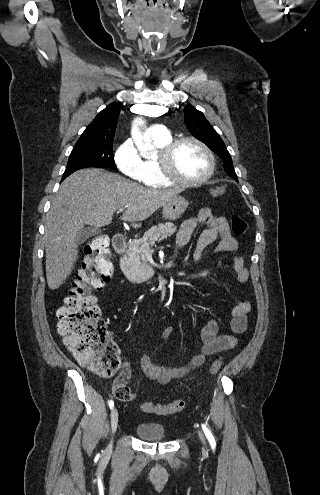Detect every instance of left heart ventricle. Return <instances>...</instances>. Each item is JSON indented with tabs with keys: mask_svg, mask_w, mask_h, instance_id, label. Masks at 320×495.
<instances>
[{
	"mask_svg": "<svg viewBox=\"0 0 320 495\" xmlns=\"http://www.w3.org/2000/svg\"><path fill=\"white\" fill-rule=\"evenodd\" d=\"M174 168L177 174L185 179L203 177L209 168L205 153L194 143L181 144L174 155Z\"/></svg>",
	"mask_w": 320,
	"mask_h": 495,
	"instance_id": "b2bd125f",
	"label": "left heart ventricle"
}]
</instances>
